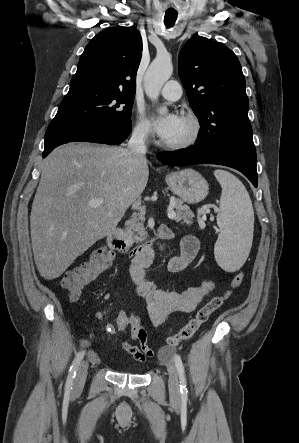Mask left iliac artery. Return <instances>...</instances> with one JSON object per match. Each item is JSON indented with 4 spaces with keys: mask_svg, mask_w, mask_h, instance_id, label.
I'll use <instances>...</instances> for the list:
<instances>
[{
    "mask_svg": "<svg viewBox=\"0 0 299 443\" xmlns=\"http://www.w3.org/2000/svg\"><path fill=\"white\" fill-rule=\"evenodd\" d=\"M174 362L178 371L179 379H180V392L181 398L183 401L188 399V390H187V382L185 377L184 366L181 357L178 354L174 356Z\"/></svg>",
    "mask_w": 299,
    "mask_h": 443,
    "instance_id": "left-iliac-artery-1",
    "label": "left iliac artery"
}]
</instances>
